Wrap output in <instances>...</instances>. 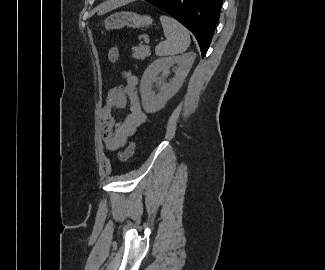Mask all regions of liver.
<instances>
[{"instance_id": "obj_1", "label": "liver", "mask_w": 325, "mask_h": 270, "mask_svg": "<svg viewBox=\"0 0 325 270\" xmlns=\"http://www.w3.org/2000/svg\"><path fill=\"white\" fill-rule=\"evenodd\" d=\"M130 0H111L108 2H105L103 4H101L98 8V15H104L107 12L116 9L126 3H128Z\"/></svg>"}]
</instances>
